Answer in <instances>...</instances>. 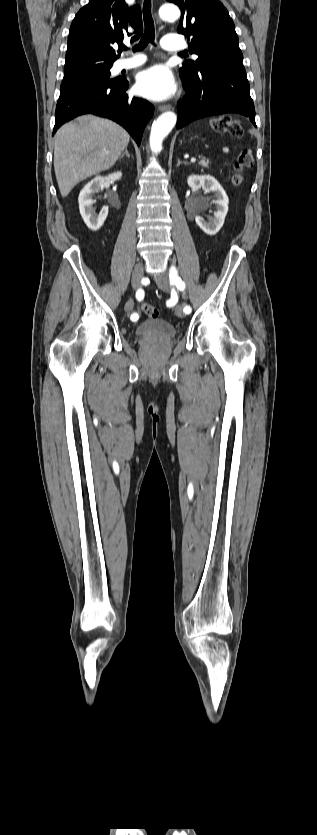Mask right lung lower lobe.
I'll return each instance as SVG.
<instances>
[{
  "label": "right lung lower lobe",
  "instance_id": "obj_1",
  "mask_svg": "<svg viewBox=\"0 0 317 835\" xmlns=\"http://www.w3.org/2000/svg\"><path fill=\"white\" fill-rule=\"evenodd\" d=\"M85 57L87 56L66 59V64L76 65ZM128 86L125 78H115L62 90L57 102L52 135L65 122L79 115L92 113L120 124L140 145L145 125L152 117L154 107L144 99L129 97L125 93Z\"/></svg>",
  "mask_w": 317,
  "mask_h": 835
}]
</instances>
